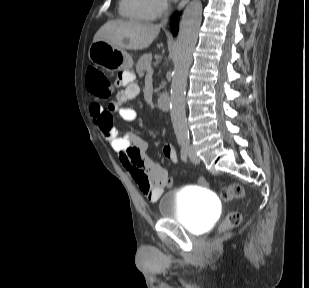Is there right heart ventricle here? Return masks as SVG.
<instances>
[{
    "mask_svg": "<svg viewBox=\"0 0 309 288\" xmlns=\"http://www.w3.org/2000/svg\"><path fill=\"white\" fill-rule=\"evenodd\" d=\"M119 12L132 21L147 22L155 18L149 0H120Z\"/></svg>",
    "mask_w": 309,
    "mask_h": 288,
    "instance_id": "1",
    "label": "right heart ventricle"
}]
</instances>
